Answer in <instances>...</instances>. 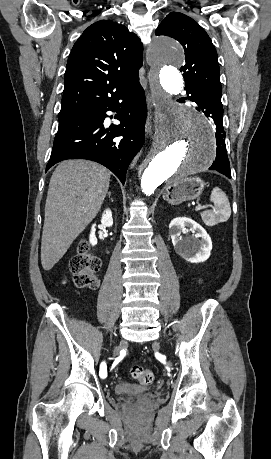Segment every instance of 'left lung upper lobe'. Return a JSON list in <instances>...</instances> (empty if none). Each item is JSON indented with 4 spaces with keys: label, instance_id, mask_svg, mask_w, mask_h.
<instances>
[{
    "label": "left lung upper lobe",
    "instance_id": "5c2ea615",
    "mask_svg": "<svg viewBox=\"0 0 271 459\" xmlns=\"http://www.w3.org/2000/svg\"><path fill=\"white\" fill-rule=\"evenodd\" d=\"M178 40L185 51V65L180 68L185 79V90L198 92L208 89L211 103L222 107L220 69L217 52L210 37L189 16L171 12L155 31Z\"/></svg>",
    "mask_w": 271,
    "mask_h": 459
}]
</instances>
